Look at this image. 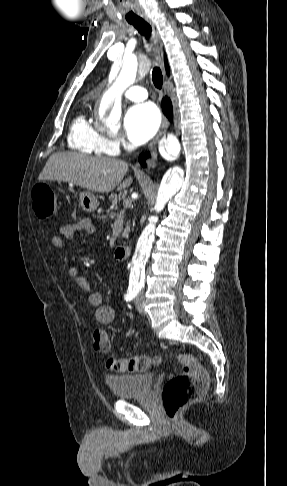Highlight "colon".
Returning a JSON list of instances; mask_svg holds the SVG:
<instances>
[{
  "label": "colon",
  "mask_w": 287,
  "mask_h": 486,
  "mask_svg": "<svg viewBox=\"0 0 287 486\" xmlns=\"http://www.w3.org/2000/svg\"><path fill=\"white\" fill-rule=\"evenodd\" d=\"M33 210L37 217H51L57 208L53 189L47 183H38L32 190ZM93 347L99 352H107L110 344L102 330L93 333ZM173 358L182 365L178 375L169 378L162 387V401L166 415L176 420L179 411L198 399L208 386V375L200 362L190 354L176 353ZM161 356L137 355L130 358H110L107 368L119 373L143 372L162 362Z\"/></svg>",
  "instance_id": "obj_1"
}]
</instances>
